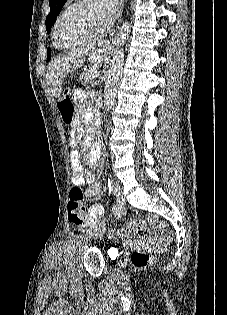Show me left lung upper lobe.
Wrapping results in <instances>:
<instances>
[{"label":"left lung upper lobe","instance_id":"1","mask_svg":"<svg viewBox=\"0 0 227 315\" xmlns=\"http://www.w3.org/2000/svg\"><path fill=\"white\" fill-rule=\"evenodd\" d=\"M67 0H49L50 13L46 18V30L47 33L51 31V27L53 26L58 14L62 10L63 5ZM51 58L50 51H47V61Z\"/></svg>","mask_w":227,"mask_h":315}]
</instances>
